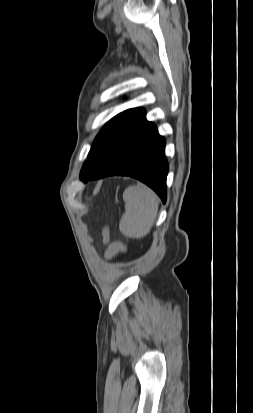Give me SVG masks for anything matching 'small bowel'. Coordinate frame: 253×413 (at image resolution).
Listing matches in <instances>:
<instances>
[{"label": "small bowel", "mask_w": 253, "mask_h": 413, "mask_svg": "<svg viewBox=\"0 0 253 413\" xmlns=\"http://www.w3.org/2000/svg\"><path fill=\"white\" fill-rule=\"evenodd\" d=\"M125 251V246L120 243V242H112L107 245V249L105 252V256L108 259H111L112 257L116 256L120 252Z\"/></svg>", "instance_id": "c3829d8e"}]
</instances>
